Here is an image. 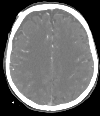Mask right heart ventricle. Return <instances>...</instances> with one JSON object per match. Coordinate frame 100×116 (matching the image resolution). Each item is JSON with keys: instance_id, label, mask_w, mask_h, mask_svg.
I'll return each mask as SVG.
<instances>
[{"instance_id": "e07e8e85", "label": "right heart ventricle", "mask_w": 100, "mask_h": 116, "mask_svg": "<svg viewBox=\"0 0 100 116\" xmlns=\"http://www.w3.org/2000/svg\"><path fill=\"white\" fill-rule=\"evenodd\" d=\"M42 29H43L42 26H38V32H39V33L41 32Z\"/></svg>"}]
</instances>
